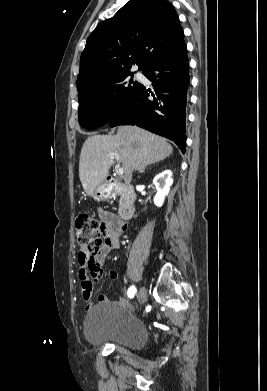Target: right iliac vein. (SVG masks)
I'll list each match as a JSON object with an SVG mask.
<instances>
[{
  "label": "right iliac vein",
  "instance_id": "63e3f726",
  "mask_svg": "<svg viewBox=\"0 0 267 391\" xmlns=\"http://www.w3.org/2000/svg\"><path fill=\"white\" fill-rule=\"evenodd\" d=\"M146 296H147V290L145 287H141L140 291H139V303L142 304L145 299H146Z\"/></svg>",
  "mask_w": 267,
  "mask_h": 391
}]
</instances>
